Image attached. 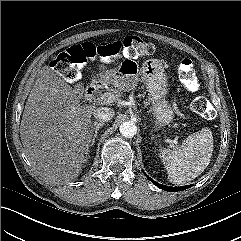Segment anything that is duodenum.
Here are the masks:
<instances>
[{"label":"duodenum","mask_w":241,"mask_h":241,"mask_svg":"<svg viewBox=\"0 0 241 241\" xmlns=\"http://www.w3.org/2000/svg\"><path fill=\"white\" fill-rule=\"evenodd\" d=\"M102 82L99 79L92 81L86 88L85 93L88 99L95 96L97 91L101 88Z\"/></svg>","instance_id":"duodenum-1"}]
</instances>
